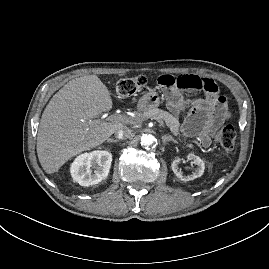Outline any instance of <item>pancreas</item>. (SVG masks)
<instances>
[{
  "label": "pancreas",
  "mask_w": 269,
  "mask_h": 269,
  "mask_svg": "<svg viewBox=\"0 0 269 269\" xmlns=\"http://www.w3.org/2000/svg\"><path fill=\"white\" fill-rule=\"evenodd\" d=\"M148 118L155 119L158 122L165 124L175 136L177 137L181 136L179 132L180 130L179 120L175 118L173 115H171L170 113L160 110L158 108H155L149 111H145L143 114H140L138 116V121L145 120ZM187 146L192 148L191 144H187Z\"/></svg>",
  "instance_id": "cf45deb5"
}]
</instances>
